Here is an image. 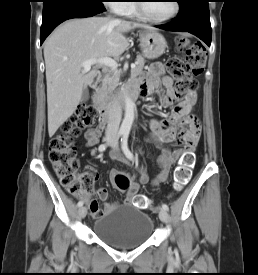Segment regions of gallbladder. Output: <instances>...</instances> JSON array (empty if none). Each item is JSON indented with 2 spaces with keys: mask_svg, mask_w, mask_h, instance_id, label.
<instances>
[{
  "mask_svg": "<svg viewBox=\"0 0 258 275\" xmlns=\"http://www.w3.org/2000/svg\"><path fill=\"white\" fill-rule=\"evenodd\" d=\"M89 98V92L88 89H84L81 97V101H87Z\"/></svg>",
  "mask_w": 258,
  "mask_h": 275,
  "instance_id": "obj_1",
  "label": "gallbladder"
}]
</instances>
